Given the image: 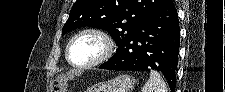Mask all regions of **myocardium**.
I'll return each mask as SVG.
<instances>
[{
	"instance_id": "obj_1",
	"label": "myocardium",
	"mask_w": 225,
	"mask_h": 92,
	"mask_svg": "<svg viewBox=\"0 0 225 92\" xmlns=\"http://www.w3.org/2000/svg\"><path fill=\"white\" fill-rule=\"evenodd\" d=\"M84 35H92V36L97 37L103 44V51L100 56H98L96 59H94L91 62H88L85 64H76L70 58V49H71V46L74 43V41ZM114 49H115L114 41H113L112 37L106 31H104L100 28L91 27V28L83 29V30L77 32L74 36H72V38L69 40V42L66 46L65 57H66L68 64L70 66H72L73 68L85 69V68L97 66V65L103 63L104 61L108 60L113 55Z\"/></svg>"
}]
</instances>
